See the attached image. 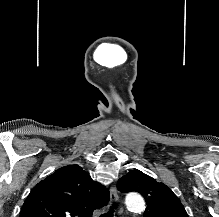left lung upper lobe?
Segmentation results:
<instances>
[{
	"label": "left lung upper lobe",
	"instance_id": "5c2ea615",
	"mask_svg": "<svg viewBox=\"0 0 219 217\" xmlns=\"http://www.w3.org/2000/svg\"><path fill=\"white\" fill-rule=\"evenodd\" d=\"M117 188L123 193L136 191L146 200L144 217H188L173 191L139 170H132L119 179Z\"/></svg>",
	"mask_w": 219,
	"mask_h": 217
}]
</instances>
